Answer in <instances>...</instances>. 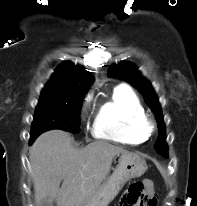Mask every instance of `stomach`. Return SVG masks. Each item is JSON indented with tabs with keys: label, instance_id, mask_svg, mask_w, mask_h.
<instances>
[{
	"label": "stomach",
	"instance_id": "stomach-1",
	"mask_svg": "<svg viewBox=\"0 0 197 206\" xmlns=\"http://www.w3.org/2000/svg\"><path fill=\"white\" fill-rule=\"evenodd\" d=\"M146 169V162L139 155L122 153L112 175L80 206H108L130 179L140 177Z\"/></svg>",
	"mask_w": 197,
	"mask_h": 206
}]
</instances>
